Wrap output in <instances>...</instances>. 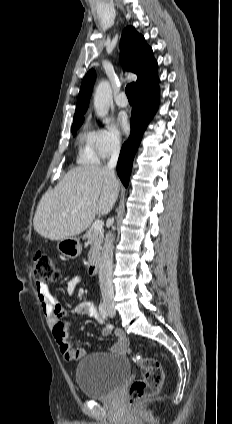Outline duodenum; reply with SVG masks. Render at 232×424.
Listing matches in <instances>:
<instances>
[{
    "label": "duodenum",
    "mask_w": 232,
    "mask_h": 424,
    "mask_svg": "<svg viewBox=\"0 0 232 424\" xmlns=\"http://www.w3.org/2000/svg\"><path fill=\"white\" fill-rule=\"evenodd\" d=\"M99 268V259L95 256L93 257L87 267L88 274L94 275L98 272Z\"/></svg>",
    "instance_id": "obj_1"
}]
</instances>
